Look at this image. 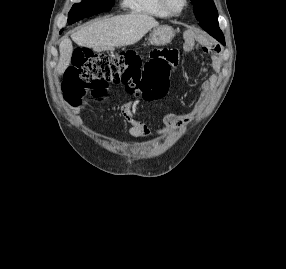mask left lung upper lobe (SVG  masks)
<instances>
[{"mask_svg": "<svg viewBox=\"0 0 286 269\" xmlns=\"http://www.w3.org/2000/svg\"><path fill=\"white\" fill-rule=\"evenodd\" d=\"M194 14L200 26L222 44L225 43L224 35L218 25V12L213 0H191Z\"/></svg>", "mask_w": 286, "mask_h": 269, "instance_id": "5c2ea615", "label": "left lung upper lobe"}]
</instances>
